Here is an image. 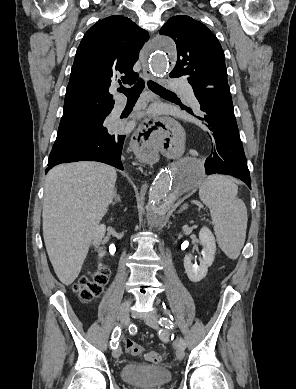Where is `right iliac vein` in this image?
Here are the masks:
<instances>
[{
  "label": "right iliac vein",
  "mask_w": 296,
  "mask_h": 389,
  "mask_svg": "<svg viewBox=\"0 0 296 389\" xmlns=\"http://www.w3.org/2000/svg\"><path fill=\"white\" fill-rule=\"evenodd\" d=\"M130 306H131L130 299L125 300L120 306L118 318H119L121 324L124 326L129 323ZM121 353H122L121 347H118V348L114 349V351L112 352V355L114 358H118L121 355Z\"/></svg>",
  "instance_id": "obj_1"
}]
</instances>
